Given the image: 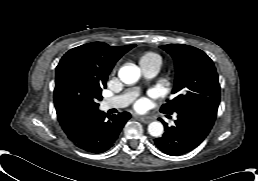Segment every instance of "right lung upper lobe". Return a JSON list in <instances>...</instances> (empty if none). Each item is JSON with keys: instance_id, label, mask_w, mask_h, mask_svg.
<instances>
[{"instance_id": "obj_1", "label": "right lung upper lobe", "mask_w": 258, "mask_h": 181, "mask_svg": "<svg viewBox=\"0 0 258 181\" xmlns=\"http://www.w3.org/2000/svg\"><path fill=\"white\" fill-rule=\"evenodd\" d=\"M135 45L113 47L92 42L69 50L60 60L56 71L65 63L76 62L83 71L101 84H106L116 61Z\"/></svg>"}]
</instances>
